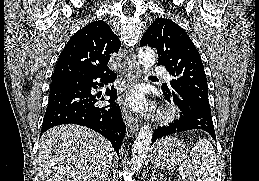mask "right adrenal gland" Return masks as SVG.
Here are the masks:
<instances>
[{
    "label": "right adrenal gland",
    "instance_id": "right-adrenal-gland-1",
    "mask_svg": "<svg viewBox=\"0 0 259 181\" xmlns=\"http://www.w3.org/2000/svg\"><path fill=\"white\" fill-rule=\"evenodd\" d=\"M102 181H110V174L109 172L105 175L104 179Z\"/></svg>",
    "mask_w": 259,
    "mask_h": 181
}]
</instances>
